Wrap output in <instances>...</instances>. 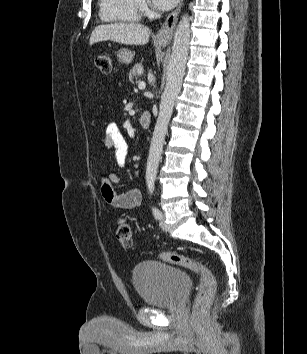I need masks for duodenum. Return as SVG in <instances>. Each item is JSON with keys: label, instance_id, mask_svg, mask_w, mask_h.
Returning a JSON list of instances; mask_svg holds the SVG:
<instances>
[{"label": "duodenum", "instance_id": "410a0bca", "mask_svg": "<svg viewBox=\"0 0 307 354\" xmlns=\"http://www.w3.org/2000/svg\"><path fill=\"white\" fill-rule=\"evenodd\" d=\"M151 119H152V116H151L150 112H148V111L143 112L139 118L140 125L143 128H148L151 124Z\"/></svg>", "mask_w": 307, "mask_h": 354}]
</instances>
